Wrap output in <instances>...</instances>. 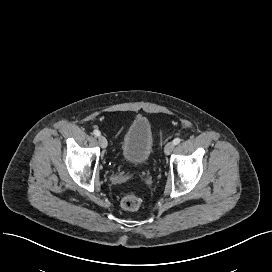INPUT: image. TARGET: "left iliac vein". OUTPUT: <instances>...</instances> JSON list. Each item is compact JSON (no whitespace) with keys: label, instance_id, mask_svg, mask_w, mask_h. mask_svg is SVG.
I'll return each instance as SVG.
<instances>
[{"label":"left iliac vein","instance_id":"4c4485c4","mask_svg":"<svg viewBox=\"0 0 272 272\" xmlns=\"http://www.w3.org/2000/svg\"><path fill=\"white\" fill-rule=\"evenodd\" d=\"M175 147V144L173 142H168L166 145H165V148H164V153L166 155H169L171 154V152L173 151Z\"/></svg>","mask_w":272,"mask_h":272}]
</instances>
